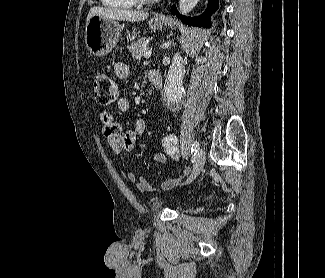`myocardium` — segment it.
I'll return each mask as SVG.
<instances>
[{
  "label": "myocardium",
  "mask_w": 325,
  "mask_h": 278,
  "mask_svg": "<svg viewBox=\"0 0 325 278\" xmlns=\"http://www.w3.org/2000/svg\"><path fill=\"white\" fill-rule=\"evenodd\" d=\"M136 4L146 5L156 2L157 0H133Z\"/></svg>",
  "instance_id": "1"
}]
</instances>
